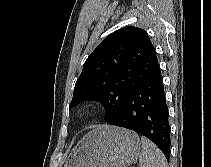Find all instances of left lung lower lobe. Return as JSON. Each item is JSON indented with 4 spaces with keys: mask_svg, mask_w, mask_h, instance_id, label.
I'll return each instance as SVG.
<instances>
[{
    "mask_svg": "<svg viewBox=\"0 0 211 167\" xmlns=\"http://www.w3.org/2000/svg\"><path fill=\"white\" fill-rule=\"evenodd\" d=\"M107 124L128 128L146 136L169 160L171 142L168 107L158 64L150 76L129 94L118 114Z\"/></svg>",
    "mask_w": 211,
    "mask_h": 167,
    "instance_id": "obj_1",
    "label": "left lung lower lobe"
}]
</instances>
